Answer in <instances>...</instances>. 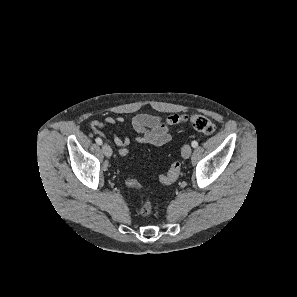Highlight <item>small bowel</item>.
I'll list each match as a JSON object with an SVG mask.
<instances>
[{
  "mask_svg": "<svg viewBox=\"0 0 297 297\" xmlns=\"http://www.w3.org/2000/svg\"><path fill=\"white\" fill-rule=\"evenodd\" d=\"M125 118L122 116L112 117L107 116L103 121H92L90 128L94 134L104 137L103 129L106 125L125 124ZM133 130L138 134L136 141L140 144H151L153 146H162L168 143L171 138V132L168 126L164 123L162 118L150 114H137L130 120ZM115 144L120 148L121 146L128 147L130 145V138L113 136Z\"/></svg>",
  "mask_w": 297,
  "mask_h": 297,
  "instance_id": "small-bowel-1",
  "label": "small bowel"
}]
</instances>
